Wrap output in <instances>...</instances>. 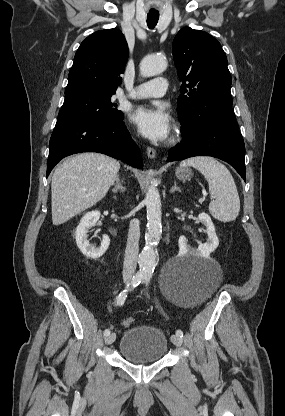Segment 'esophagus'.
<instances>
[{"mask_svg":"<svg viewBox=\"0 0 285 416\" xmlns=\"http://www.w3.org/2000/svg\"><path fill=\"white\" fill-rule=\"evenodd\" d=\"M146 152H147V155H148L149 158H155L156 151H155L154 148L148 147L147 150H146Z\"/></svg>","mask_w":285,"mask_h":416,"instance_id":"1","label":"esophagus"}]
</instances>
